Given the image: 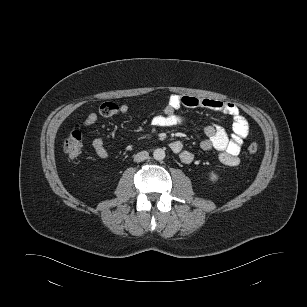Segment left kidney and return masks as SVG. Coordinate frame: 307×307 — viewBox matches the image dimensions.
I'll use <instances>...</instances> for the list:
<instances>
[{"label":"left kidney","instance_id":"obj_1","mask_svg":"<svg viewBox=\"0 0 307 307\" xmlns=\"http://www.w3.org/2000/svg\"><path fill=\"white\" fill-rule=\"evenodd\" d=\"M210 179H211V181H216L217 179H218V176L216 175V174H214V173H211L210 174Z\"/></svg>","mask_w":307,"mask_h":307}]
</instances>
